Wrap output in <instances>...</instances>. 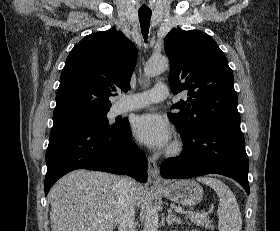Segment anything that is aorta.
<instances>
[{
    "label": "aorta",
    "instance_id": "obj_1",
    "mask_svg": "<svg viewBox=\"0 0 280 231\" xmlns=\"http://www.w3.org/2000/svg\"><path fill=\"white\" fill-rule=\"evenodd\" d=\"M169 68V60L160 58V60H148L144 68V76L152 78V76H160L162 72H166ZM143 231H158V211L154 205L146 207L144 217Z\"/></svg>",
    "mask_w": 280,
    "mask_h": 231
}]
</instances>
